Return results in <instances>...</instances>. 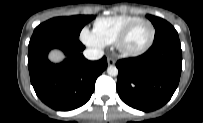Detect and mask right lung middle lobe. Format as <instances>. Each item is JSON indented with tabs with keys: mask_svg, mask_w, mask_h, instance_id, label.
<instances>
[{
	"mask_svg": "<svg viewBox=\"0 0 203 123\" xmlns=\"http://www.w3.org/2000/svg\"><path fill=\"white\" fill-rule=\"evenodd\" d=\"M94 19L93 15H76L70 17H56L41 23L35 32H46L61 37L77 39L82 28Z\"/></svg>",
	"mask_w": 203,
	"mask_h": 123,
	"instance_id": "dd1d6c3e",
	"label": "right lung middle lobe"
}]
</instances>
